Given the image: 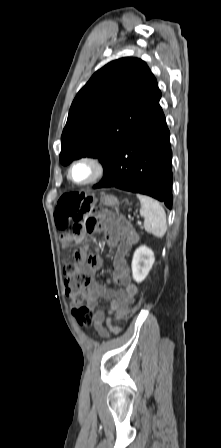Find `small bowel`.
Masks as SVG:
<instances>
[{"label":"small bowel","mask_w":221,"mask_h":448,"mask_svg":"<svg viewBox=\"0 0 221 448\" xmlns=\"http://www.w3.org/2000/svg\"><path fill=\"white\" fill-rule=\"evenodd\" d=\"M95 219L97 227L105 232L106 243L109 247H116L114 256V279L121 286L114 291L100 282L91 278L86 290V305L90 310H95L100 298L110 300L107 314L101 310L94 312V328L101 337H106L109 333H118L120 329L112 325L113 319L121 320L126 316V312L131 303L134 302L137 287L130 282L129 269L126 263V256L131 247L137 243L139 236L130 224L118 221L113 214L106 210L99 211ZM61 244L66 249H71L73 244H79L83 237L70 233H63L60 236ZM72 258L76 261L78 268L92 275L102 264L99 256L88 255L86 249L71 251ZM107 283L111 280L107 279Z\"/></svg>","instance_id":"c3829d8e"}]
</instances>
